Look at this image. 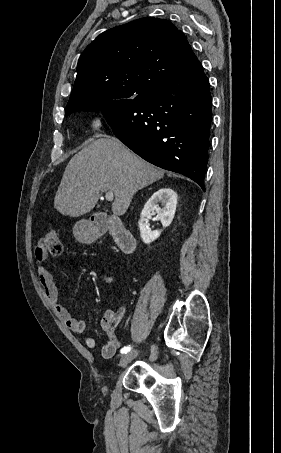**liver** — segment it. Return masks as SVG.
I'll return each mask as SVG.
<instances>
[{
	"mask_svg": "<svg viewBox=\"0 0 281 453\" xmlns=\"http://www.w3.org/2000/svg\"><path fill=\"white\" fill-rule=\"evenodd\" d=\"M163 176L164 170L137 156L115 136L97 138L69 160L54 206L61 214L81 216L94 208L100 192H114L112 212L120 216L138 190Z\"/></svg>",
	"mask_w": 281,
	"mask_h": 453,
	"instance_id": "liver-1",
	"label": "liver"
}]
</instances>
